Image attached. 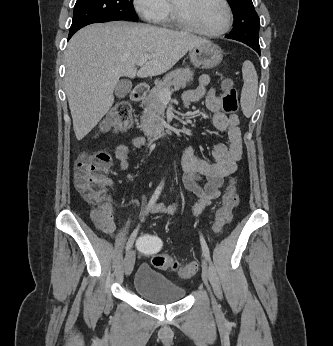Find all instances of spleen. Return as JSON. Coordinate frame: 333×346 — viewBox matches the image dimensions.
Segmentation results:
<instances>
[{"label":"spleen","mask_w":333,"mask_h":346,"mask_svg":"<svg viewBox=\"0 0 333 346\" xmlns=\"http://www.w3.org/2000/svg\"><path fill=\"white\" fill-rule=\"evenodd\" d=\"M244 85L241 92V107L244 115L249 117L254 111L258 92V76L252 62L245 61L242 66Z\"/></svg>","instance_id":"spleen-1"}]
</instances>
